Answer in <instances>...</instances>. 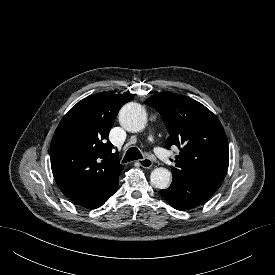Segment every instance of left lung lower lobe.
<instances>
[{
	"label": "left lung lower lobe",
	"mask_w": 275,
	"mask_h": 275,
	"mask_svg": "<svg viewBox=\"0 0 275 275\" xmlns=\"http://www.w3.org/2000/svg\"><path fill=\"white\" fill-rule=\"evenodd\" d=\"M214 192L199 183L173 179L170 187L161 190L160 195L173 208L183 211L203 204Z\"/></svg>",
	"instance_id": "left-lung-lower-lobe-1"
}]
</instances>
